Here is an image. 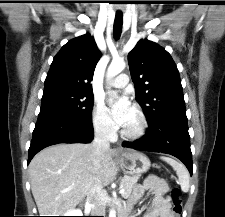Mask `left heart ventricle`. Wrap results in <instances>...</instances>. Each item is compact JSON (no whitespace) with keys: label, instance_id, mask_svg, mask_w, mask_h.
I'll return each instance as SVG.
<instances>
[{"label":"left heart ventricle","instance_id":"1","mask_svg":"<svg viewBox=\"0 0 225 217\" xmlns=\"http://www.w3.org/2000/svg\"><path fill=\"white\" fill-rule=\"evenodd\" d=\"M137 123H138L137 115L134 113L133 110H131L130 118L127 121L124 128H126L128 130H133L137 126Z\"/></svg>","mask_w":225,"mask_h":217}]
</instances>
